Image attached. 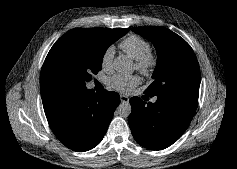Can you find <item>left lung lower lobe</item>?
Instances as JSON below:
<instances>
[{
	"instance_id": "0a47b994",
	"label": "left lung lower lobe",
	"mask_w": 237,
	"mask_h": 169,
	"mask_svg": "<svg viewBox=\"0 0 237 169\" xmlns=\"http://www.w3.org/2000/svg\"><path fill=\"white\" fill-rule=\"evenodd\" d=\"M198 94L167 92L155 103L130 99L129 125L135 140L145 148L162 150L177 141L189 126L197 108Z\"/></svg>"
}]
</instances>
